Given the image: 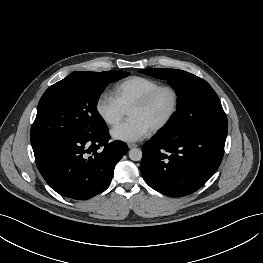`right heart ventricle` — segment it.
<instances>
[{"mask_svg":"<svg viewBox=\"0 0 263 263\" xmlns=\"http://www.w3.org/2000/svg\"><path fill=\"white\" fill-rule=\"evenodd\" d=\"M160 85L159 81L152 78L132 76L114 87L113 96L124 109H129L134 103Z\"/></svg>","mask_w":263,"mask_h":263,"instance_id":"obj_1","label":"right heart ventricle"}]
</instances>
